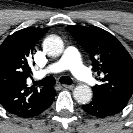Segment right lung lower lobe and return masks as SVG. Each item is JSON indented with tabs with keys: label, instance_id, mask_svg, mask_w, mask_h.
Here are the masks:
<instances>
[{
	"label": "right lung lower lobe",
	"instance_id": "1",
	"mask_svg": "<svg viewBox=\"0 0 133 133\" xmlns=\"http://www.w3.org/2000/svg\"><path fill=\"white\" fill-rule=\"evenodd\" d=\"M56 95V91L53 89V94H52V98H51V100H50V102L44 107V109L40 112V113H42L43 111H45L50 105H51V103L53 102V100H54V96ZM39 113V114H40ZM38 115V114H37Z\"/></svg>",
	"mask_w": 133,
	"mask_h": 133
}]
</instances>
